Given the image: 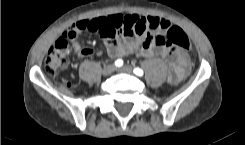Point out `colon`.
Segmentation results:
<instances>
[{
	"label": "colon",
	"mask_w": 245,
	"mask_h": 145,
	"mask_svg": "<svg viewBox=\"0 0 245 145\" xmlns=\"http://www.w3.org/2000/svg\"><path fill=\"white\" fill-rule=\"evenodd\" d=\"M81 30H85V28H81ZM76 33V30L69 28L54 43L45 60L44 70L46 74L56 75L66 66L70 52L68 42L76 36ZM154 42L157 46L170 44L186 50H192L193 48L188 36L177 26L170 27L163 35H155Z\"/></svg>",
	"instance_id": "1"
}]
</instances>
